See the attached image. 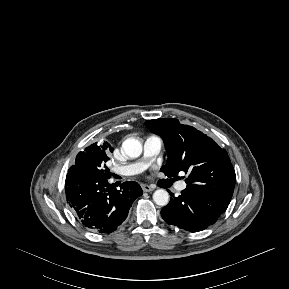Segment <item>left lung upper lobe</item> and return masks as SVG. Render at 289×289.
Masks as SVG:
<instances>
[{"label": "left lung upper lobe", "instance_id": "5c2ea615", "mask_svg": "<svg viewBox=\"0 0 289 289\" xmlns=\"http://www.w3.org/2000/svg\"><path fill=\"white\" fill-rule=\"evenodd\" d=\"M164 141L168 160L161 171L175 177L188 174L187 188L230 203L236 175L226 150L194 127L177 119H153L145 122Z\"/></svg>", "mask_w": 289, "mask_h": 289}]
</instances>
